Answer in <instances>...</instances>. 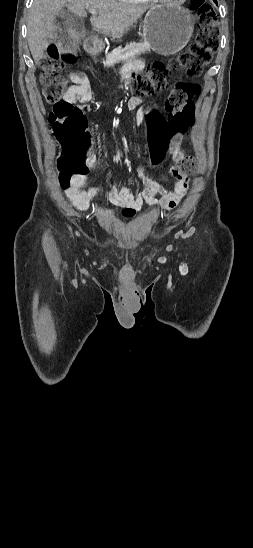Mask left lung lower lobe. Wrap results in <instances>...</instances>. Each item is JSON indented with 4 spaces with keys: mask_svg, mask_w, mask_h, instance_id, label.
I'll use <instances>...</instances> for the list:
<instances>
[{
    "mask_svg": "<svg viewBox=\"0 0 253 548\" xmlns=\"http://www.w3.org/2000/svg\"><path fill=\"white\" fill-rule=\"evenodd\" d=\"M215 3H217V0H213Z\"/></svg>",
    "mask_w": 253,
    "mask_h": 548,
    "instance_id": "0a47b994",
    "label": "left lung lower lobe"
}]
</instances>
